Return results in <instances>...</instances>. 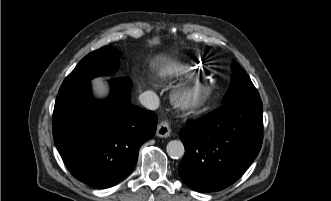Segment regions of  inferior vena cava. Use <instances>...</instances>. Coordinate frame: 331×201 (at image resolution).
I'll return each mask as SVG.
<instances>
[{"mask_svg": "<svg viewBox=\"0 0 331 201\" xmlns=\"http://www.w3.org/2000/svg\"><path fill=\"white\" fill-rule=\"evenodd\" d=\"M140 103L150 110H156L159 107V97L152 91H146L139 96Z\"/></svg>", "mask_w": 331, "mask_h": 201, "instance_id": "inferior-vena-cava-1", "label": "inferior vena cava"}]
</instances>
